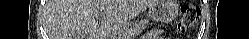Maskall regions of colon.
Returning <instances> with one entry per match:
<instances>
[{
	"label": "colon",
	"instance_id": "1",
	"mask_svg": "<svg viewBox=\"0 0 249 39\" xmlns=\"http://www.w3.org/2000/svg\"><path fill=\"white\" fill-rule=\"evenodd\" d=\"M180 21L178 30L180 33H186L199 20V9L191 1H184L180 6Z\"/></svg>",
	"mask_w": 249,
	"mask_h": 39
}]
</instances>
